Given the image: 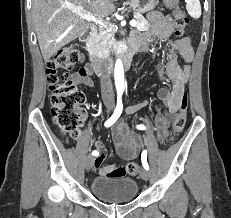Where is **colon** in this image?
<instances>
[{"instance_id":"5ec220e1","label":"colon","mask_w":231,"mask_h":218,"mask_svg":"<svg viewBox=\"0 0 231 218\" xmlns=\"http://www.w3.org/2000/svg\"><path fill=\"white\" fill-rule=\"evenodd\" d=\"M168 8L174 12L176 34L182 36L188 23V18L179 9L178 0H165ZM83 61V55L72 46L61 48L46 63V74L51 94L52 118L62 135L67 138L77 139L80 136V128L84 115V93L77 87L75 81L68 73L72 67ZM188 108V96L184 91L179 106V112L173 122L172 138L179 135L186 124ZM140 166L137 163H129L127 172L135 176L139 173Z\"/></svg>"}]
</instances>
